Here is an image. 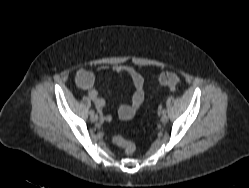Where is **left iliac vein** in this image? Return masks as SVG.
Returning a JSON list of instances; mask_svg holds the SVG:
<instances>
[{
  "label": "left iliac vein",
  "mask_w": 249,
  "mask_h": 188,
  "mask_svg": "<svg viewBox=\"0 0 249 188\" xmlns=\"http://www.w3.org/2000/svg\"><path fill=\"white\" fill-rule=\"evenodd\" d=\"M168 121V116L166 114H163L161 117V122L166 123Z\"/></svg>",
  "instance_id": "obj_1"
}]
</instances>
